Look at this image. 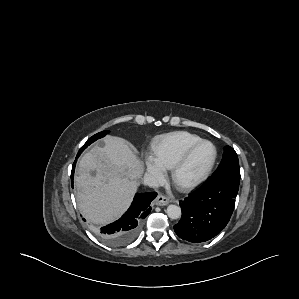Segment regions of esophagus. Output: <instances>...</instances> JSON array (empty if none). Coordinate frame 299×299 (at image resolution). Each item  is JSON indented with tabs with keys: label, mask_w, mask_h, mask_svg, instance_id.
Masks as SVG:
<instances>
[{
	"label": "esophagus",
	"mask_w": 299,
	"mask_h": 299,
	"mask_svg": "<svg viewBox=\"0 0 299 299\" xmlns=\"http://www.w3.org/2000/svg\"><path fill=\"white\" fill-rule=\"evenodd\" d=\"M170 203V200L165 195L159 194L155 199V204L159 206H165Z\"/></svg>",
	"instance_id": "obj_1"
}]
</instances>
